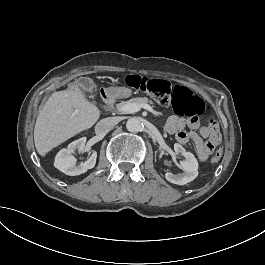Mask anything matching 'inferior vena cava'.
<instances>
[{"label": "inferior vena cava", "mask_w": 265, "mask_h": 265, "mask_svg": "<svg viewBox=\"0 0 265 265\" xmlns=\"http://www.w3.org/2000/svg\"><path fill=\"white\" fill-rule=\"evenodd\" d=\"M116 125V121L112 117L104 118L100 120L95 128L94 132L98 136H105L109 131H111Z\"/></svg>", "instance_id": "obj_1"}]
</instances>
